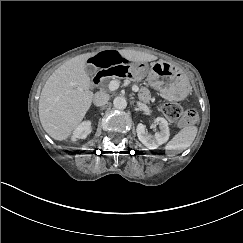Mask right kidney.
Wrapping results in <instances>:
<instances>
[{
	"label": "right kidney",
	"instance_id": "right-kidney-1",
	"mask_svg": "<svg viewBox=\"0 0 243 243\" xmlns=\"http://www.w3.org/2000/svg\"><path fill=\"white\" fill-rule=\"evenodd\" d=\"M89 129L88 124H83L81 125L75 132V136L73 140H76L77 138H83L85 132Z\"/></svg>",
	"mask_w": 243,
	"mask_h": 243
}]
</instances>
